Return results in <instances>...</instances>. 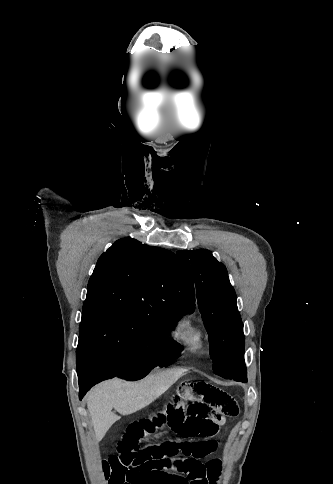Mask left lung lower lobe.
Returning <instances> with one entry per match:
<instances>
[{
    "instance_id": "0a47b994",
    "label": "left lung lower lobe",
    "mask_w": 333,
    "mask_h": 484,
    "mask_svg": "<svg viewBox=\"0 0 333 484\" xmlns=\"http://www.w3.org/2000/svg\"><path fill=\"white\" fill-rule=\"evenodd\" d=\"M237 362L240 366H242L243 368L244 367V352L241 353L238 357H237ZM242 382H246V380H242Z\"/></svg>"
}]
</instances>
